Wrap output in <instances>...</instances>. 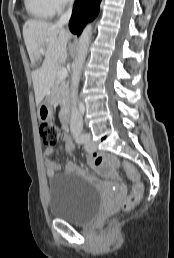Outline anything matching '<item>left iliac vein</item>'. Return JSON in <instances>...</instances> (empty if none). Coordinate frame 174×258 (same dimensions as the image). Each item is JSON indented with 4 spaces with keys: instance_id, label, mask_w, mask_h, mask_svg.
<instances>
[{
    "instance_id": "obj_1",
    "label": "left iliac vein",
    "mask_w": 174,
    "mask_h": 258,
    "mask_svg": "<svg viewBox=\"0 0 174 258\" xmlns=\"http://www.w3.org/2000/svg\"><path fill=\"white\" fill-rule=\"evenodd\" d=\"M86 135H87V140L85 142V149L89 152L94 151L95 147L93 142L90 140V135L89 134H86Z\"/></svg>"
}]
</instances>
